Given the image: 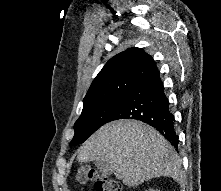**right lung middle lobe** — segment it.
<instances>
[{
	"label": "right lung middle lobe",
	"mask_w": 221,
	"mask_h": 191,
	"mask_svg": "<svg viewBox=\"0 0 221 191\" xmlns=\"http://www.w3.org/2000/svg\"><path fill=\"white\" fill-rule=\"evenodd\" d=\"M122 98L123 96L83 107L79 119L74 124L75 135L70 146L83 143L98 128L107 123Z\"/></svg>",
	"instance_id": "1"
}]
</instances>
